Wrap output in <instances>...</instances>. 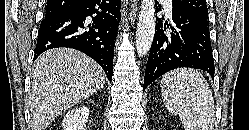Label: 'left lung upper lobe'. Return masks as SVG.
Instances as JSON below:
<instances>
[{
    "label": "left lung upper lobe",
    "instance_id": "1",
    "mask_svg": "<svg viewBox=\"0 0 249 130\" xmlns=\"http://www.w3.org/2000/svg\"><path fill=\"white\" fill-rule=\"evenodd\" d=\"M172 2L199 17L208 18L206 0H172Z\"/></svg>",
    "mask_w": 249,
    "mask_h": 130
}]
</instances>
